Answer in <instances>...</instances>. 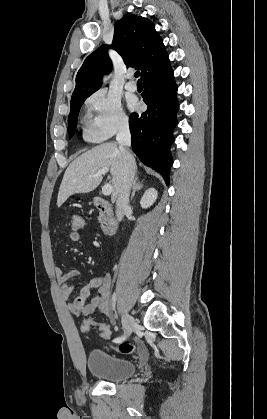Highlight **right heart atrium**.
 Wrapping results in <instances>:
<instances>
[{
  "instance_id": "right-heart-atrium-1",
  "label": "right heart atrium",
  "mask_w": 267,
  "mask_h": 419,
  "mask_svg": "<svg viewBox=\"0 0 267 419\" xmlns=\"http://www.w3.org/2000/svg\"><path fill=\"white\" fill-rule=\"evenodd\" d=\"M91 113L87 136L94 141H104L128 126V117L118 98L105 90H98L86 100Z\"/></svg>"
}]
</instances>
